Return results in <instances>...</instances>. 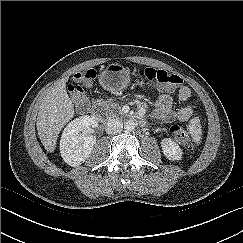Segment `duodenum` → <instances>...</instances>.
<instances>
[{"instance_id": "410a0bca", "label": "duodenum", "mask_w": 243, "mask_h": 243, "mask_svg": "<svg viewBox=\"0 0 243 243\" xmlns=\"http://www.w3.org/2000/svg\"><path fill=\"white\" fill-rule=\"evenodd\" d=\"M91 116H93L95 119H100L101 118V113L98 109H93L90 112ZM129 120H132L134 122L139 123L140 125H144V120L140 115L134 114V115H130L128 117Z\"/></svg>"}]
</instances>
